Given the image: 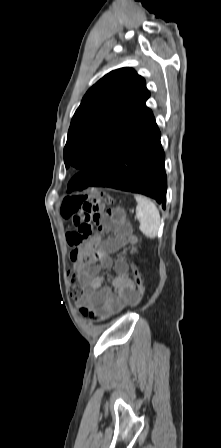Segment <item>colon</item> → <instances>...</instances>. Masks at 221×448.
Returning a JSON list of instances; mask_svg holds the SVG:
<instances>
[{
  "label": "colon",
  "instance_id": "5ec220e1",
  "mask_svg": "<svg viewBox=\"0 0 221 448\" xmlns=\"http://www.w3.org/2000/svg\"><path fill=\"white\" fill-rule=\"evenodd\" d=\"M112 203L111 197L103 192L92 195H74L67 196L61 205V215L64 219L71 220L76 227L82 240L88 239L93 231L94 225L103 222V214L106 215V220L112 224H122V215L107 207ZM129 251L133 253L135 246H132ZM99 254L92 252L87 254L84 259L86 261H97ZM132 271L135 277V284L137 289L138 303L144 296L145 287L140 277L139 270L135 265H132ZM68 279L72 285L71 296L78 299L82 293V289L78 283V273L75 270L68 272ZM82 314L88 319H94L95 314L87 307L81 309Z\"/></svg>",
  "mask_w": 221,
  "mask_h": 448
}]
</instances>
